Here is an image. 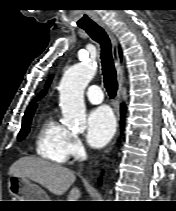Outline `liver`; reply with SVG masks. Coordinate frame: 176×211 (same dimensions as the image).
Instances as JSON below:
<instances>
[{
  "label": "liver",
  "instance_id": "1",
  "mask_svg": "<svg viewBox=\"0 0 176 211\" xmlns=\"http://www.w3.org/2000/svg\"><path fill=\"white\" fill-rule=\"evenodd\" d=\"M9 175L32 180L55 195H62L74 183L76 177L72 170L58 164L36 157H22L14 162ZM81 196L79 188L70 190L68 201H78Z\"/></svg>",
  "mask_w": 176,
  "mask_h": 211
}]
</instances>
